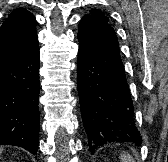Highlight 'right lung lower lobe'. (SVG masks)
I'll list each match as a JSON object with an SVG mask.
<instances>
[{
    "label": "right lung lower lobe",
    "mask_w": 168,
    "mask_h": 162,
    "mask_svg": "<svg viewBox=\"0 0 168 162\" xmlns=\"http://www.w3.org/2000/svg\"><path fill=\"white\" fill-rule=\"evenodd\" d=\"M39 48L0 65V145L37 153Z\"/></svg>",
    "instance_id": "1"
}]
</instances>
